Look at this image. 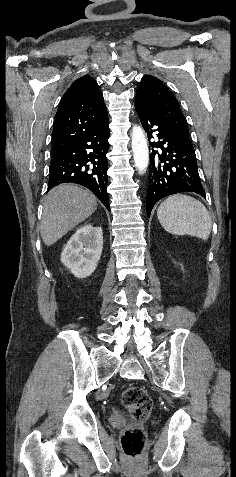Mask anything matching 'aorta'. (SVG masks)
I'll return each mask as SVG.
<instances>
[{
	"mask_svg": "<svg viewBox=\"0 0 236 477\" xmlns=\"http://www.w3.org/2000/svg\"><path fill=\"white\" fill-rule=\"evenodd\" d=\"M131 146L135 167L143 174L149 164V149L144 130L141 126H134L131 132Z\"/></svg>",
	"mask_w": 236,
	"mask_h": 477,
	"instance_id": "aorta-1",
	"label": "aorta"
}]
</instances>
